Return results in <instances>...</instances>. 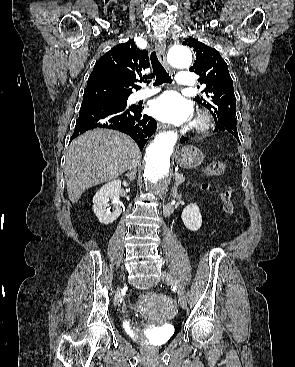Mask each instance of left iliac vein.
Returning <instances> with one entry per match:
<instances>
[{"label": "left iliac vein", "mask_w": 295, "mask_h": 367, "mask_svg": "<svg viewBox=\"0 0 295 367\" xmlns=\"http://www.w3.org/2000/svg\"><path fill=\"white\" fill-rule=\"evenodd\" d=\"M161 277L164 282H168L176 288L180 305L182 306V308H186L187 300H186L185 292L182 286L179 284V282L170 273H168L165 270L162 271Z\"/></svg>", "instance_id": "1"}]
</instances>
